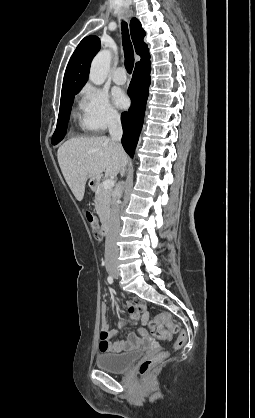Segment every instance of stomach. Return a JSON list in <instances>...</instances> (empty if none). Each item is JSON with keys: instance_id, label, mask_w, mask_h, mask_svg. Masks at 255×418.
<instances>
[{"instance_id": "0dacf381", "label": "stomach", "mask_w": 255, "mask_h": 418, "mask_svg": "<svg viewBox=\"0 0 255 418\" xmlns=\"http://www.w3.org/2000/svg\"><path fill=\"white\" fill-rule=\"evenodd\" d=\"M97 183H98V180H97V178H96V177H94V178H90L89 185H90L92 188H94V186H96V185H97Z\"/></svg>"}]
</instances>
